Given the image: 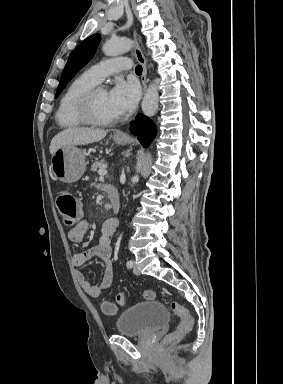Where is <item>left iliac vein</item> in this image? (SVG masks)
I'll return each instance as SVG.
<instances>
[{
    "label": "left iliac vein",
    "mask_w": 283,
    "mask_h": 384,
    "mask_svg": "<svg viewBox=\"0 0 283 384\" xmlns=\"http://www.w3.org/2000/svg\"><path fill=\"white\" fill-rule=\"evenodd\" d=\"M133 272L136 275H140V273H141L139 268H138V266L136 264H134V263H133Z\"/></svg>",
    "instance_id": "4c4485c4"
}]
</instances>
